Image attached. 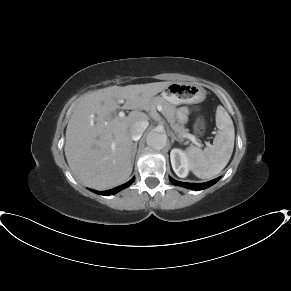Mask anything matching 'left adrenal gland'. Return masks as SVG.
I'll return each mask as SVG.
<instances>
[{"label":"left adrenal gland","instance_id":"left-adrenal-gland-1","mask_svg":"<svg viewBox=\"0 0 291 291\" xmlns=\"http://www.w3.org/2000/svg\"><path fill=\"white\" fill-rule=\"evenodd\" d=\"M178 141V142H181V140L179 138H177L174 133L171 134V142L173 143L174 141Z\"/></svg>","mask_w":291,"mask_h":291}]
</instances>
